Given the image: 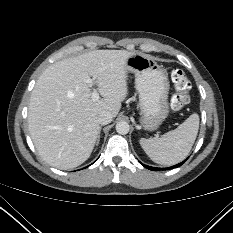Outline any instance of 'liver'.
<instances>
[{
  "label": "liver",
  "mask_w": 233,
  "mask_h": 233,
  "mask_svg": "<svg viewBox=\"0 0 233 233\" xmlns=\"http://www.w3.org/2000/svg\"><path fill=\"white\" fill-rule=\"evenodd\" d=\"M126 50H94L50 65L31 93L28 127L44 161L67 170L85 162L98 138L101 112L116 117L126 98ZM93 77L103 97L92 100Z\"/></svg>",
  "instance_id": "6515ba94"
}]
</instances>
